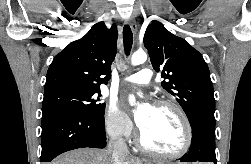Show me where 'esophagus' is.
I'll use <instances>...</instances> for the list:
<instances>
[{"instance_id":"34e87169","label":"esophagus","mask_w":251,"mask_h":164,"mask_svg":"<svg viewBox=\"0 0 251 164\" xmlns=\"http://www.w3.org/2000/svg\"><path fill=\"white\" fill-rule=\"evenodd\" d=\"M127 22L130 25L132 32L136 33V31H137L136 22L133 19H128Z\"/></svg>"}]
</instances>
